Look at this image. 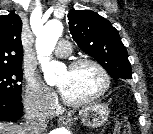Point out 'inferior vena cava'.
<instances>
[{"mask_svg":"<svg viewBox=\"0 0 153 134\" xmlns=\"http://www.w3.org/2000/svg\"><path fill=\"white\" fill-rule=\"evenodd\" d=\"M24 134H42L47 127L46 116L32 104L25 105Z\"/></svg>","mask_w":153,"mask_h":134,"instance_id":"obj_1","label":"inferior vena cava"}]
</instances>
